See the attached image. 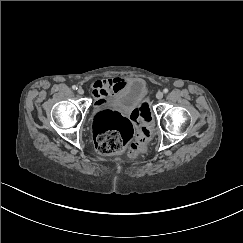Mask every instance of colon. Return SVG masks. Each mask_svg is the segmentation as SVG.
Here are the masks:
<instances>
[{
  "label": "colon",
  "mask_w": 243,
  "mask_h": 243,
  "mask_svg": "<svg viewBox=\"0 0 243 243\" xmlns=\"http://www.w3.org/2000/svg\"><path fill=\"white\" fill-rule=\"evenodd\" d=\"M140 118L137 137L134 140V129L131 122L120 113L111 109L98 111L93 117L95 146L103 155H114L126 152L136 155L145 149L152 133V113L147 103L137 112Z\"/></svg>",
  "instance_id": "colon-1"
}]
</instances>
